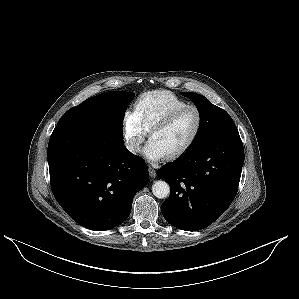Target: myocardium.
Returning a JSON list of instances; mask_svg holds the SVG:
<instances>
[{"label": "myocardium", "instance_id": "f54148a6", "mask_svg": "<svg viewBox=\"0 0 299 299\" xmlns=\"http://www.w3.org/2000/svg\"><path fill=\"white\" fill-rule=\"evenodd\" d=\"M187 110H194L197 113V126L196 129L193 133V135L191 136V138L188 140V142L179 150L167 155V158L169 160H175L178 159L180 157H182L183 155H185L196 143L202 127H203V122H204V117H203V113L201 111V109L196 106V105H186L184 107H181L175 111H173L172 113H170L168 116H166L165 118H163L162 120H160L159 122L155 123L149 131V137L151 138L152 135L161 129H165L168 126H170L179 116H181L184 112H186Z\"/></svg>", "mask_w": 299, "mask_h": 299}]
</instances>
